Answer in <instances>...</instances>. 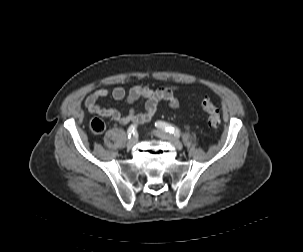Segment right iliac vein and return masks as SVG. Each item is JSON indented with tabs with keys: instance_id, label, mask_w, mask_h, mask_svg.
<instances>
[{
	"instance_id": "63e3f726",
	"label": "right iliac vein",
	"mask_w": 303,
	"mask_h": 252,
	"mask_svg": "<svg viewBox=\"0 0 303 252\" xmlns=\"http://www.w3.org/2000/svg\"><path fill=\"white\" fill-rule=\"evenodd\" d=\"M136 143H137L136 137H132V138H130V139L128 140L127 146H128L129 148H131V147L134 146Z\"/></svg>"
}]
</instances>
